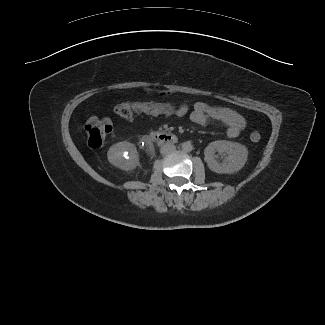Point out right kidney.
I'll return each instance as SVG.
<instances>
[{
	"instance_id": "1",
	"label": "right kidney",
	"mask_w": 325,
	"mask_h": 325,
	"mask_svg": "<svg viewBox=\"0 0 325 325\" xmlns=\"http://www.w3.org/2000/svg\"><path fill=\"white\" fill-rule=\"evenodd\" d=\"M109 162L125 171L134 169L138 165L136 146L122 141L112 145L107 153Z\"/></svg>"
}]
</instances>
